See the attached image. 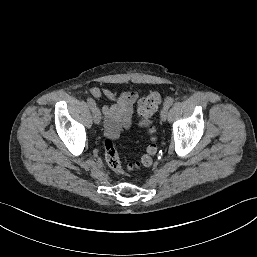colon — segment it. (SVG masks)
<instances>
[{
  "mask_svg": "<svg viewBox=\"0 0 257 257\" xmlns=\"http://www.w3.org/2000/svg\"><path fill=\"white\" fill-rule=\"evenodd\" d=\"M161 102L160 94L151 92L143 97L138 104V111L142 118V124L147 128L150 127L151 117L158 109ZM104 157L109 168L116 174H122V166L116 150L115 144L111 138H106L103 142ZM157 153V146L151 143L147 146L145 153L142 157L128 166L129 170H136L141 167H148L153 163V158Z\"/></svg>",
  "mask_w": 257,
  "mask_h": 257,
  "instance_id": "5ec220e1",
  "label": "colon"
}]
</instances>
